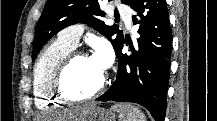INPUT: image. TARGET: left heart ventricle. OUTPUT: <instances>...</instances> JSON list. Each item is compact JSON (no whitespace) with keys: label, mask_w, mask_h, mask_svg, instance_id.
<instances>
[{"label":"left heart ventricle","mask_w":217,"mask_h":121,"mask_svg":"<svg viewBox=\"0 0 217 121\" xmlns=\"http://www.w3.org/2000/svg\"><path fill=\"white\" fill-rule=\"evenodd\" d=\"M103 75L104 71L93 58H79L65 75L66 90L75 97L88 95L99 86Z\"/></svg>","instance_id":"b2bd125f"}]
</instances>
